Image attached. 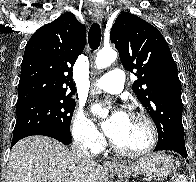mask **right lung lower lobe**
Wrapping results in <instances>:
<instances>
[{"label": "right lung lower lobe", "instance_id": "obj_1", "mask_svg": "<svg viewBox=\"0 0 196 182\" xmlns=\"http://www.w3.org/2000/svg\"><path fill=\"white\" fill-rule=\"evenodd\" d=\"M32 135L49 136L54 139H57L58 141L62 142L65 145H68L71 143V137H68L67 135L61 133L60 131L48 129V128H36V129H31V130L24 131L22 133L14 135L11 146H13L20 139L28 137V136H32Z\"/></svg>", "mask_w": 196, "mask_h": 182}]
</instances>
